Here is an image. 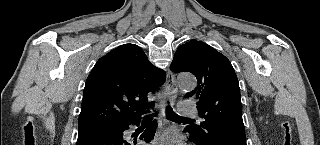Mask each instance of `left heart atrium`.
Segmentation results:
<instances>
[{
    "label": "left heart atrium",
    "mask_w": 320,
    "mask_h": 145,
    "mask_svg": "<svg viewBox=\"0 0 320 145\" xmlns=\"http://www.w3.org/2000/svg\"><path fill=\"white\" fill-rule=\"evenodd\" d=\"M157 142L158 145H179L180 138L175 132H167Z\"/></svg>",
    "instance_id": "39dd6f15"
}]
</instances>
